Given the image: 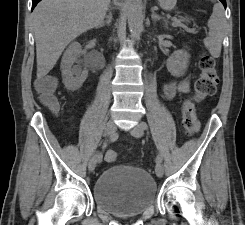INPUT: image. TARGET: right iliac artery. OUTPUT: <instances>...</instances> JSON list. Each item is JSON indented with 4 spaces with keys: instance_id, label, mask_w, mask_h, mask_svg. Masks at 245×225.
<instances>
[{
    "instance_id": "82829eb1",
    "label": "right iliac artery",
    "mask_w": 245,
    "mask_h": 225,
    "mask_svg": "<svg viewBox=\"0 0 245 225\" xmlns=\"http://www.w3.org/2000/svg\"><path fill=\"white\" fill-rule=\"evenodd\" d=\"M118 139V134L114 133L109 140H107L104 144L107 145L110 142H114ZM103 155L102 154H98L97 156V162L100 163L102 161Z\"/></svg>"
}]
</instances>
